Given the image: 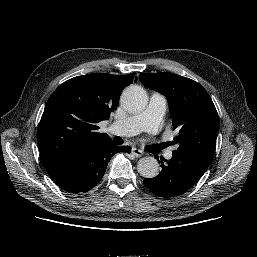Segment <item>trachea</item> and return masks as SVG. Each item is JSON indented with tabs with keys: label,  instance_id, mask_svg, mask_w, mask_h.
Here are the masks:
<instances>
[{
	"label": "trachea",
	"instance_id": "obj_1",
	"mask_svg": "<svg viewBox=\"0 0 257 257\" xmlns=\"http://www.w3.org/2000/svg\"><path fill=\"white\" fill-rule=\"evenodd\" d=\"M114 142H115L116 144H121V141H119L118 138H117V139L115 138V139H114Z\"/></svg>",
	"mask_w": 257,
	"mask_h": 257
}]
</instances>
